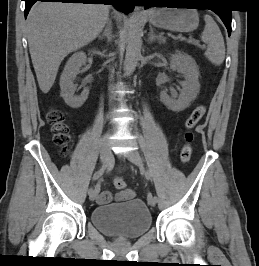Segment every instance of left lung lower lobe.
<instances>
[{
    "mask_svg": "<svg viewBox=\"0 0 259 266\" xmlns=\"http://www.w3.org/2000/svg\"><path fill=\"white\" fill-rule=\"evenodd\" d=\"M191 0H143L142 1V6H144L145 8L148 7H172V6H179V5H187V4H193L190 3ZM209 10V9H208ZM214 12H216L221 20L223 21V23L225 24L227 30H228V34L230 36L231 34V11L229 9H211Z\"/></svg>",
    "mask_w": 259,
    "mask_h": 266,
    "instance_id": "left-lung-lower-lobe-1",
    "label": "left lung lower lobe"
}]
</instances>
